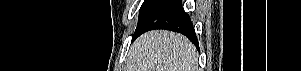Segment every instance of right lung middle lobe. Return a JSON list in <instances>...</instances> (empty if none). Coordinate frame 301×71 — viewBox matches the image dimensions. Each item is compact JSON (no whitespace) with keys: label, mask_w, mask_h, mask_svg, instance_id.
<instances>
[{"label":"right lung middle lobe","mask_w":301,"mask_h":71,"mask_svg":"<svg viewBox=\"0 0 301 71\" xmlns=\"http://www.w3.org/2000/svg\"><path fill=\"white\" fill-rule=\"evenodd\" d=\"M160 0H145L140 8V15L137 27L144 20L145 16L154 8Z\"/></svg>","instance_id":"dd1d6c3e"}]
</instances>
